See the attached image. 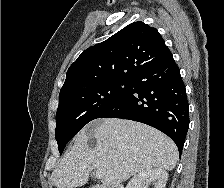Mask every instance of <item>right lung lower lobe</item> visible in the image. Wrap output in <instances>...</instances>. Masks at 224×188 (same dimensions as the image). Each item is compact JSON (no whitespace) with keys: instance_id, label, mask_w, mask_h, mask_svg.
Masks as SVG:
<instances>
[{"instance_id":"1","label":"right lung lower lobe","mask_w":224,"mask_h":188,"mask_svg":"<svg viewBox=\"0 0 224 188\" xmlns=\"http://www.w3.org/2000/svg\"><path fill=\"white\" fill-rule=\"evenodd\" d=\"M126 97L102 117L150 125L168 135L181 154L189 127L185 85L173 56L136 75Z\"/></svg>"}]
</instances>
